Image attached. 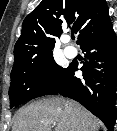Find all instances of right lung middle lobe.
Masks as SVG:
<instances>
[{"label": "right lung middle lobe", "mask_w": 117, "mask_h": 131, "mask_svg": "<svg viewBox=\"0 0 117 131\" xmlns=\"http://www.w3.org/2000/svg\"><path fill=\"white\" fill-rule=\"evenodd\" d=\"M67 68L60 67L53 54L11 71L10 109L34 98L54 94L63 84Z\"/></svg>", "instance_id": "obj_1"}]
</instances>
